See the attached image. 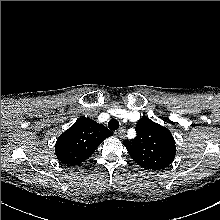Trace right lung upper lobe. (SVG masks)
<instances>
[{
	"label": "right lung upper lobe",
	"mask_w": 220,
	"mask_h": 220,
	"mask_svg": "<svg viewBox=\"0 0 220 220\" xmlns=\"http://www.w3.org/2000/svg\"><path fill=\"white\" fill-rule=\"evenodd\" d=\"M112 133L90 118L78 119L57 139L55 151L57 159L70 166L89 158Z\"/></svg>",
	"instance_id": "obj_1"
}]
</instances>
